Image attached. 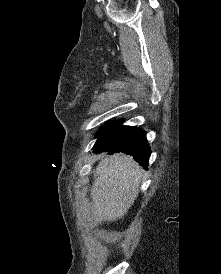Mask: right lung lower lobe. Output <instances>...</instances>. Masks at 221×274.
<instances>
[{"label": "right lung lower lobe", "instance_id": "obj_1", "mask_svg": "<svg viewBox=\"0 0 221 274\" xmlns=\"http://www.w3.org/2000/svg\"><path fill=\"white\" fill-rule=\"evenodd\" d=\"M122 123L123 120H119L101 133L93 147V152H108V154L123 152L133 156L147 169L151 149L145 132L137 127L122 126Z\"/></svg>", "mask_w": 221, "mask_h": 274}]
</instances>
